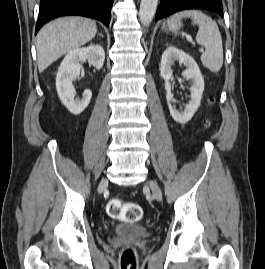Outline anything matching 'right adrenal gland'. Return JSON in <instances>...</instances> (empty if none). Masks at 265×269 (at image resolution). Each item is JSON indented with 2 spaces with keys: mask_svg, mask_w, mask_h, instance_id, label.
<instances>
[{
  "mask_svg": "<svg viewBox=\"0 0 265 269\" xmlns=\"http://www.w3.org/2000/svg\"><path fill=\"white\" fill-rule=\"evenodd\" d=\"M98 35H99L100 37H102V38H103V35H102V33H99Z\"/></svg>",
  "mask_w": 265,
  "mask_h": 269,
  "instance_id": "1",
  "label": "right adrenal gland"
}]
</instances>
